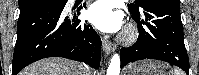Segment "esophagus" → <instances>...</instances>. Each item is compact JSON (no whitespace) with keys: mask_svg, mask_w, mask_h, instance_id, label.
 Listing matches in <instances>:
<instances>
[{"mask_svg":"<svg viewBox=\"0 0 199 75\" xmlns=\"http://www.w3.org/2000/svg\"><path fill=\"white\" fill-rule=\"evenodd\" d=\"M103 49L106 54H111L115 51V46L107 39V37H103Z\"/></svg>","mask_w":199,"mask_h":75,"instance_id":"34e87169","label":"esophagus"}]
</instances>
